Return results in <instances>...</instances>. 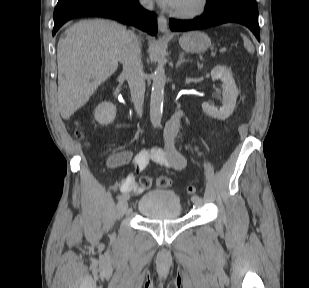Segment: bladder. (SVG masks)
<instances>
[{"label": "bladder", "instance_id": "1", "mask_svg": "<svg viewBox=\"0 0 309 288\" xmlns=\"http://www.w3.org/2000/svg\"><path fill=\"white\" fill-rule=\"evenodd\" d=\"M182 208L181 198L175 191L152 190L139 201L138 212L145 218H176Z\"/></svg>", "mask_w": 309, "mask_h": 288}]
</instances>
